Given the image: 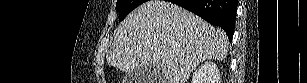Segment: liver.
Returning a JSON list of instances; mask_svg holds the SVG:
<instances>
[{"label": "liver", "mask_w": 307, "mask_h": 83, "mask_svg": "<svg viewBox=\"0 0 307 83\" xmlns=\"http://www.w3.org/2000/svg\"><path fill=\"white\" fill-rule=\"evenodd\" d=\"M229 50L225 32L184 8L150 0L125 18L106 54L109 65L125 73L153 66L160 83H186L203 60H224Z\"/></svg>", "instance_id": "6515ba94"}]
</instances>
